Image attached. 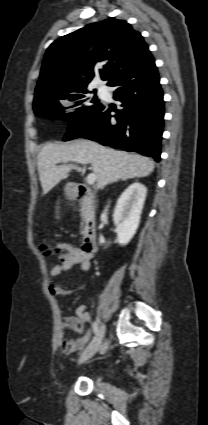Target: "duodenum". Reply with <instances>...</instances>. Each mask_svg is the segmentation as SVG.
Instances as JSON below:
<instances>
[{
	"instance_id": "1",
	"label": "duodenum",
	"mask_w": 208,
	"mask_h": 425,
	"mask_svg": "<svg viewBox=\"0 0 208 425\" xmlns=\"http://www.w3.org/2000/svg\"><path fill=\"white\" fill-rule=\"evenodd\" d=\"M70 192L82 204L84 229L81 248L86 253L94 252L97 249V230L95 225L96 197L91 188L81 183L71 185Z\"/></svg>"
}]
</instances>
